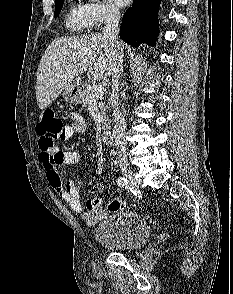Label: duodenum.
<instances>
[{"instance_id":"duodenum-1","label":"duodenum","mask_w":233,"mask_h":294,"mask_svg":"<svg viewBox=\"0 0 233 294\" xmlns=\"http://www.w3.org/2000/svg\"><path fill=\"white\" fill-rule=\"evenodd\" d=\"M101 137H102V141L105 145H113L114 144V137L109 130H103Z\"/></svg>"}]
</instances>
